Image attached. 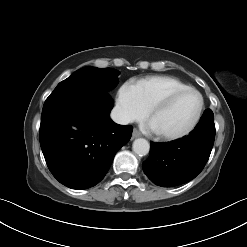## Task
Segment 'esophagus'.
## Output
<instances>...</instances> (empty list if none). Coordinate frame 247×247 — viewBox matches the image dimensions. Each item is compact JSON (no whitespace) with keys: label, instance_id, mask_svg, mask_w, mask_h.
<instances>
[{"label":"esophagus","instance_id":"obj_1","mask_svg":"<svg viewBox=\"0 0 247 247\" xmlns=\"http://www.w3.org/2000/svg\"><path fill=\"white\" fill-rule=\"evenodd\" d=\"M140 136H141V133L137 129H134L133 133H132V137L133 138H138Z\"/></svg>","mask_w":247,"mask_h":247}]
</instances>
